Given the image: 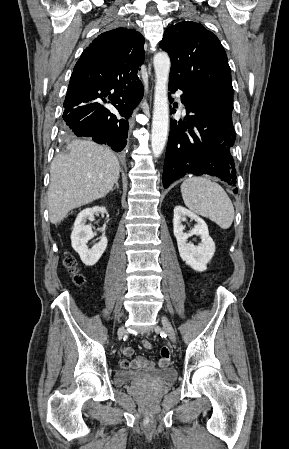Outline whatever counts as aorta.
Segmentation results:
<instances>
[{"mask_svg":"<svg viewBox=\"0 0 289 449\" xmlns=\"http://www.w3.org/2000/svg\"><path fill=\"white\" fill-rule=\"evenodd\" d=\"M153 63L156 80L151 148L154 157H159L164 150L169 128L168 81L171 63L166 52L156 53Z\"/></svg>","mask_w":289,"mask_h":449,"instance_id":"obj_1","label":"aorta"}]
</instances>
